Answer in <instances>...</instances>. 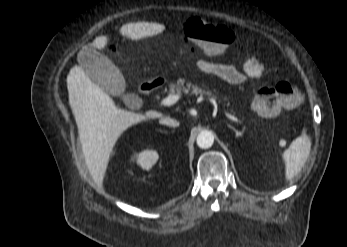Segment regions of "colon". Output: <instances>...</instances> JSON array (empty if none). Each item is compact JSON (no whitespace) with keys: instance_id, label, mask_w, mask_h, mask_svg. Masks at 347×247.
<instances>
[{"instance_id":"5ec220e1","label":"colon","mask_w":347,"mask_h":247,"mask_svg":"<svg viewBox=\"0 0 347 247\" xmlns=\"http://www.w3.org/2000/svg\"><path fill=\"white\" fill-rule=\"evenodd\" d=\"M185 34L189 40L211 56L223 55L235 39V33L227 26L210 23L200 18H191L187 21ZM300 102V90L289 82H280L273 87L261 88L255 96L254 108L260 116H276L296 109Z\"/></svg>"}]
</instances>
